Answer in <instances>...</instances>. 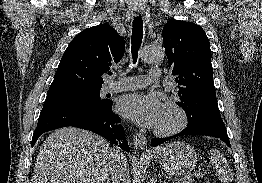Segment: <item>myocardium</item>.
Masks as SVG:
<instances>
[{
  "label": "myocardium",
  "instance_id": "myocardium-1",
  "mask_svg": "<svg viewBox=\"0 0 262 183\" xmlns=\"http://www.w3.org/2000/svg\"><path fill=\"white\" fill-rule=\"evenodd\" d=\"M164 108L172 109L176 112L178 116V122L177 124L166 130L161 129H155L154 134L159 137H170L173 136L179 132H181L188 124V115L185 111V109L177 102L175 101H168L164 104Z\"/></svg>",
  "mask_w": 262,
  "mask_h": 183
}]
</instances>
